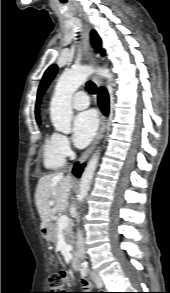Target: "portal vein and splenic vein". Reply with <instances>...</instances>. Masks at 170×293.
I'll list each match as a JSON object with an SVG mask.
<instances>
[{"instance_id": "obj_1", "label": "portal vein and splenic vein", "mask_w": 170, "mask_h": 293, "mask_svg": "<svg viewBox=\"0 0 170 293\" xmlns=\"http://www.w3.org/2000/svg\"><path fill=\"white\" fill-rule=\"evenodd\" d=\"M53 204H54L53 201L49 202V205H53ZM68 224H69V218L66 215H63L58 219L59 230H63L65 227L68 226Z\"/></svg>"}]
</instances>
